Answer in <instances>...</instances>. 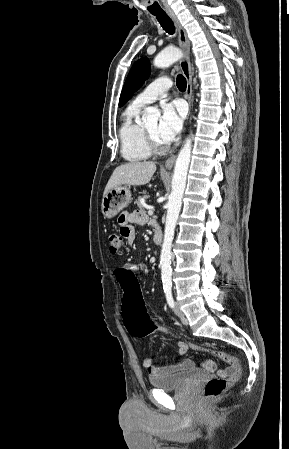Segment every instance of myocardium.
<instances>
[{"label": "myocardium", "mask_w": 289, "mask_h": 449, "mask_svg": "<svg viewBox=\"0 0 289 449\" xmlns=\"http://www.w3.org/2000/svg\"><path fill=\"white\" fill-rule=\"evenodd\" d=\"M143 132L145 136V140L147 143V146L151 153L154 154H163L168 150V147L164 144H160L148 131L146 126H143Z\"/></svg>", "instance_id": "obj_1"}]
</instances>
